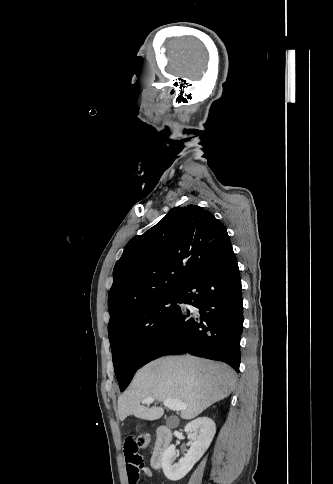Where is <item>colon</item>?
I'll return each mask as SVG.
<instances>
[{
	"label": "colon",
	"instance_id": "obj_1",
	"mask_svg": "<svg viewBox=\"0 0 333 484\" xmlns=\"http://www.w3.org/2000/svg\"><path fill=\"white\" fill-rule=\"evenodd\" d=\"M139 448H146L150 444V435L148 433L140 434L136 439Z\"/></svg>",
	"mask_w": 333,
	"mask_h": 484
}]
</instances>
